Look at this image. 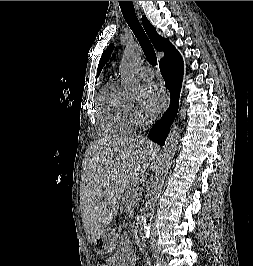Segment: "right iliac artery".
<instances>
[{"label": "right iliac artery", "instance_id": "82829eb1", "mask_svg": "<svg viewBox=\"0 0 253 266\" xmlns=\"http://www.w3.org/2000/svg\"><path fill=\"white\" fill-rule=\"evenodd\" d=\"M153 266H159V264H158V263H156V262H154Z\"/></svg>", "mask_w": 253, "mask_h": 266}]
</instances>
